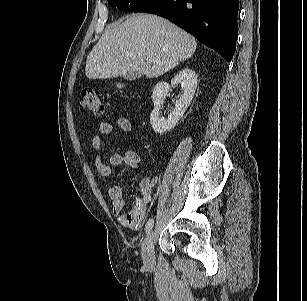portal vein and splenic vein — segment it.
<instances>
[{
  "label": "portal vein and splenic vein",
  "mask_w": 307,
  "mask_h": 301,
  "mask_svg": "<svg viewBox=\"0 0 307 301\" xmlns=\"http://www.w3.org/2000/svg\"><path fill=\"white\" fill-rule=\"evenodd\" d=\"M146 61H147L148 63H153V62H155L152 58H146Z\"/></svg>",
  "instance_id": "portal-vein-and-splenic-vein-1"
}]
</instances>
